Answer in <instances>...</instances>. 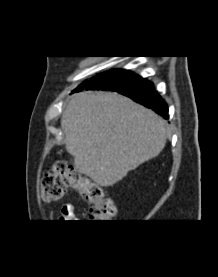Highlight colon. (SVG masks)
I'll return each mask as SVG.
<instances>
[{
	"instance_id": "colon-1",
	"label": "colon",
	"mask_w": 218,
	"mask_h": 277,
	"mask_svg": "<svg viewBox=\"0 0 218 277\" xmlns=\"http://www.w3.org/2000/svg\"><path fill=\"white\" fill-rule=\"evenodd\" d=\"M77 190L90 205V220L92 222H106L116 214L112 199L104 196L100 186L85 178L73 165L65 161L56 162L52 169L44 174L41 181L42 200L51 203L60 200L66 189Z\"/></svg>"
}]
</instances>
